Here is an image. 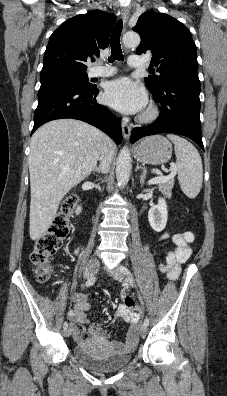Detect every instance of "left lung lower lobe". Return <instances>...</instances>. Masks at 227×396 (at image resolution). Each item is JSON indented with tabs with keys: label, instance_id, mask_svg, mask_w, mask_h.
<instances>
[{
	"label": "left lung lower lobe",
	"instance_id": "left-lung-lower-lobe-1",
	"mask_svg": "<svg viewBox=\"0 0 227 396\" xmlns=\"http://www.w3.org/2000/svg\"><path fill=\"white\" fill-rule=\"evenodd\" d=\"M152 94L160 104V115L153 124L134 128L131 143L166 132L186 136L204 150L199 116L200 84L172 82Z\"/></svg>",
	"mask_w": 227,
	"mask_h": 396
}]
</instances>
